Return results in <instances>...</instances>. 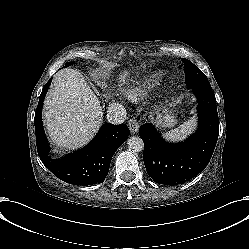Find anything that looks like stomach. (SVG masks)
<instances>
[{
	"instance_id": "1",
	"label": "stomach",
	"mask_w": 249,
	"mask_h": 249,
	"mask_svg": "<svg viewBox=\"0 0 249 249\" xmlns=\"http://www.w3.org/2000/svg\"><path fill=\"white\" fill-rule=\"evenodd\" d=\"M156 123L161 127V128H173L177 123L178 119L177 116L171 113H166L164 115H159L157 117Z\"/></svg>"
}]
</instances>
